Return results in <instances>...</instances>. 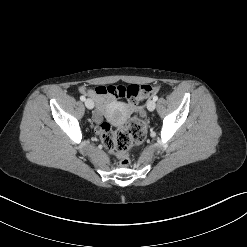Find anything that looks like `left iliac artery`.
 Masks as SVG:
<instances>
[{"label": "left iliac artery", "mask_w": 247, "mask_h": 247, "mask_svg": "<svg viewBox=\"0 0 247 247\" xmlns=\"http://www.w3.org/2000/svg\"><path fill=\"white\" fill-rule=\"evenodd\" d=\"M153 100H154V101H157V100H158V96H154V97H153Z\"/></svg>", "instance_id": "1"}]
</instances>
